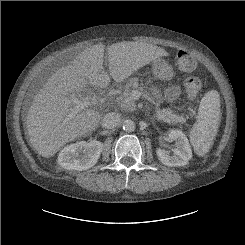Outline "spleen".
<instances>
[{
	"label": "spleen",
	"instance_id": "spleen-1",
	"mask_svg": "<svg viewBox=\"0 0 245 245\" xmlns=\"http://www.w3.org/2000/svg\"><path fill=\"white\" fill-rule=\"evenodd\" d=\"M220 96L208 91L201 99L197 120L190 132V142L197 155H205L213 145L220 124Z\"/></svg>",
	"mask_w": 245,
	"mask_h": 245
}]
</instances>
